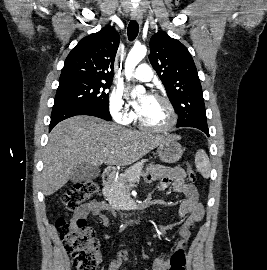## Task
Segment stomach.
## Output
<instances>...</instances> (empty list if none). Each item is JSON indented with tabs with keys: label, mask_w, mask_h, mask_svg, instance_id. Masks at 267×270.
Here are the masks:
<instances>
[{
	"label": "stomach",
	"mask_w": 267,
	"mask_h": 270,
	"mask_svg": "<svg viewBox=\"0 0 267 270\" xmlns=\"http://www.w3.org/2000/svg\"><path fill=\"white\" fill-rule=\"evenodd\" d=\"M157 154L162 162L175 163L181 158L183 150L177 139L170 137L158 146Z\"/></svg>",
	"instance_id": "obj_1"
}]
</instances>
